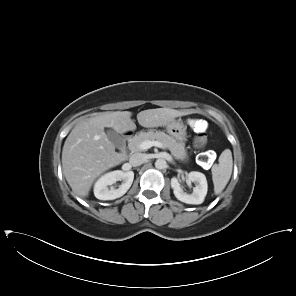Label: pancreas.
I'll return each mask as SVG.
<instances>
[{
	"mask_svg": "<svg viewBox=\"0 0 296 296\" xmlns=\"http://www.w3.org/2000/svg\"><path fill=\"white\" fill-rule=\"evenodd\" d=\"M146 140L150 141H159L161 142L165 147H167L171 154L180 161H186L187 160V151L185 149V144L182 142L176 141L173 137L165 134L161 131H148V132H141L140 134L136 135L131 143L130 146L135 151H140L139 145Z\"/></svg>",
	"mask_w": 296,
	"mask_h": 296,
	"instance_id": "1",
	"label": "pancreas"
}]
</instances>
